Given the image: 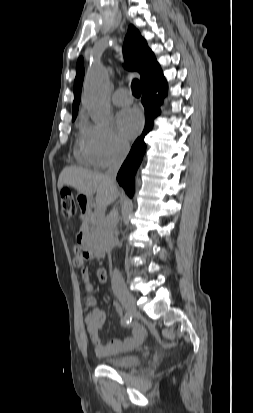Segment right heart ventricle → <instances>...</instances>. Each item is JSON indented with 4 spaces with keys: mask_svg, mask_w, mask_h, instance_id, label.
I'll return each instance as SVG.
<instances>
[{
    "mask_svg": "<svg viewBox=\"0 0 253 413\" xmlns=\"http://www.w3.org/2000/svg\"><path fill=\"white\" fill-rule=\"evenodd\" d=\"M77 156H78L79 159H81L82 161L91 164L90 159H89V156H88V154H87V152H86V150H85L82 142H81L80 147H79V149H78V151H77Z\"/></svg>",
    "mask_w": 253,
    "mask_h": 413,
    "instance_id": "right-heart-ventricle-1",
    "label": "right heart ventricle"
}]
</instances>
